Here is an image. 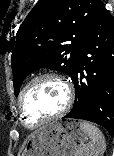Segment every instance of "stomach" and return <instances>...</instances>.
Masks as SVG:
<instances>
[{"label":"stomach","instance_id":"0dacf381","mask_svg":"<svg viewBox=\"0 0 114 156\" xmlns=\"http://www.w3.org/2000/svg\"><path fill=\"white\" fill-rule=\"evenodd\" d=\"M80 122L68 119L41 127L30 136L21 156H78L87 141Z\"/></svg>","mask_w":114,"mask_h":156}]
</instances>
